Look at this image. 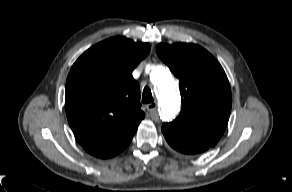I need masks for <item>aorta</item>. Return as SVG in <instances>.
Instances as JSON below:
<instances>
[{
  "instance_id": "762f6f07",
  "label": "aorta",
  "mask_w": 292,
  "mask_h": 192,
  "mask_svg": "<svg viewBox=\"0 0 292 192\" xmlns=\"http://www.w3.org/2000/svg\"><path fill=\"white\" fill-rule=\"evenodd\" d=\"M155 92L160 102V117L172 120L180 110V94L172 79L169 69L163 65H156L150 73Z\"/></svg>"
}]
</instances>
